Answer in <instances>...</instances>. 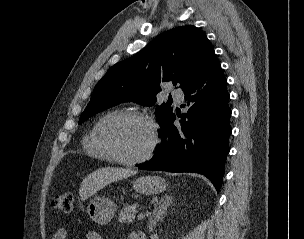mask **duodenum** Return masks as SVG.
Listing matches in <instances>:
<instances>
[{
    "label": "duodenum",
    "mask_w": 304,
    "mask_h": 239,
    "mask_svg": "<svg viewBox=\"0 0 304 239\" xmlns=\"http://www.w3.org/2000/svg\"><path fill=\"white\" fill-rule=\"evenodd\" d=\"M130 238L131 239H141L140 236L137 234H133Z\"/></svg>",
    "instance_id": "1"
}]
</instances>
